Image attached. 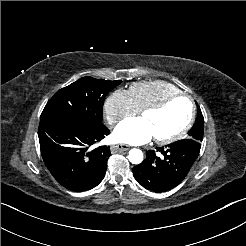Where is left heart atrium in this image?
Listing matches in <instances>:
<instances>
[{"mask_svg": "<svg viewBox=\"0 0 246 246\" xmlns=\"http://www.w3.org/2000/svg\"><path fill=\"white\" fill-rule=\"evenodd\" d=\"M117 142L129 144H144L153 138L149 127L141 118H130L122 121L114 131Z\"/></svg>", "mask_w": 246, "mask_h": 246, "instance_id": "1", "label": "left heart atrium"}]
</instances>
